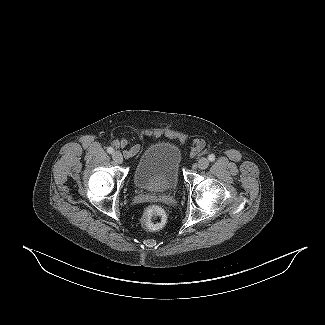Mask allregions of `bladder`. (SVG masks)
<instances>
[{"mask_svg": "<svg viewBox=\"0 0 325 325\" xmlns=\"http://www.w3.org/2000/svg\"><path fill=\"white\" fill-rule=\"evenodd\" d=\"M181 151L173 143L157 142L141 154L133 180L141 190L153 192L171 191L178 185Z\"/></svg>", "mask_w": 325, "mask_h": 325, "instance_id": "obj_1", "label": "bladder"}]
</instances>
